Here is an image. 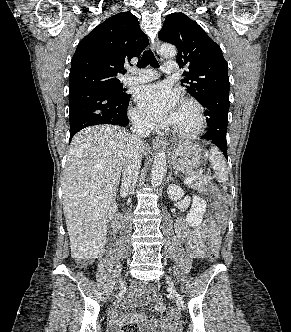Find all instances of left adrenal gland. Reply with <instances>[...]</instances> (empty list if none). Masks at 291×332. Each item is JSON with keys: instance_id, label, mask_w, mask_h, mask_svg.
<instances>
[{"instance_id": "a2214340", "label": "left adrenal gland", "mask_w": 291, "mask_h": 332, "mask_svg": "<svg viewBox=\"0 0 291 332\" xmlns=\"http://www.w3.org/2000/svg\"><path fill=\"white\" fill-rule=\"evenodd\" d=\"M169 180H173V178H172V173H169V175H168V177H167V181H169Z\"/></svg>"}]
</instances>
